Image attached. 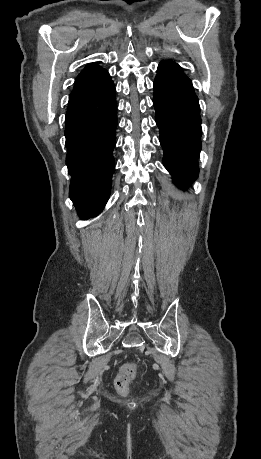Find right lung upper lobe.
<instances>
[{
    "mask_svg": "<svg viewBox=\"0 0 261 459\" xmlns=\"http://www.w3.org/2000/svg\"><path fill=\"white\" fill-rule=\"evenodd\" d=\"M111 81L107 70L94 63L88 64L75 80L68 107L97 93Z\"/></svg>",
    "mask_w": 261,
    "mask_h": 459,
    "instance_id": "right-lung-upper-lobe-1",
    "label": "right lung upper lobe"
}]
</instances>
